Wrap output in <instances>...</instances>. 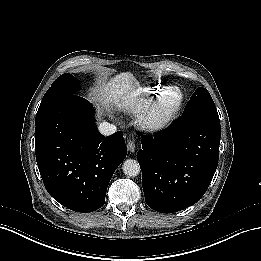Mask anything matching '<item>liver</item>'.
<instances>
[{"label":"liver","mask_w":261,"mask_h":261,"mask_svg":"<svg viewBox=\"0 0 261 261\" xmlns=\"http://www.w3.org/2000/svg\"><path fill=\"white\" fill-rule=\"evenodd\" d=\"M109 86L106 83H101L98 89L94 90L93 98L102 104L108 103L109 101ZM102 115V109L97 106V117L100 119Z\"/></svg>","instance_id":"1"}]
</instances>
